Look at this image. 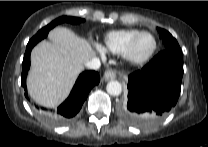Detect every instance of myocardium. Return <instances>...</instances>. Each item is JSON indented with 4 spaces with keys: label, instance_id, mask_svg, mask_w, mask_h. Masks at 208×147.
Returning a JSON list of instances; mask_svg holds the SVG:
<instances>
[{
    "label": "myocardium",
    "instance_id": "1",
    "mask_svg": "<svg viewBox=\"0 0 208 147\" xmlns=\"http://www.w3.org/2000/svg\"><path fill=\"white\" fill-rule=\"evenodd\" d=\"M144 35H150L153 38L154 45H153L152 50L146 56L137 58L134 56L133 51H134L137 41ZM157 48H158V41H157L156 36L152 32L141 31L130 40V42L128 43L124 51L122 52V57L129 64L141 65V64L148 62L153 57V55L157 51Z\"/></svg>",
    "mask_w": 208,
    "mask_h": 147
}]
</instances>
